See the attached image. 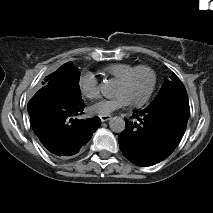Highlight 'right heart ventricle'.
<instances>
[{
    "label": "right heart ventricle",
    "mask_w": 213,
    "mask_h": 213,
    "mask_svg": "<svg viewBox=\"0 0 213 213\" xmlns=\"http://www.w3.org/2000/svg\"><path fill=\"white\" fill-rule=\"evenodd\" d=\"M138 67L130 64H119L115 67L110 68L108 71L115 76L117 79L122 80L129 76L130 73Z\"/></svg>",
    "instance_id": "1"
}]
</instances>
